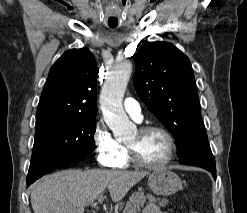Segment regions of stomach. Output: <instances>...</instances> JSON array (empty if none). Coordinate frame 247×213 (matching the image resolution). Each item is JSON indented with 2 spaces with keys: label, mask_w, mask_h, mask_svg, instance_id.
Segmentation results:
<instances>
[{
  "label": "stomach",
  "mask_w": 247,
  "mask_h": 213,
  "mask_svg": "<svg viewBox=\"0 0 247 213\" xmlns=\"http://www.w3.org/2000/svg\"><path fill=\"white\" fill-rule=\"evenodd\" d=\"M148 185L157 195L170 196L182 188L179 176L168 169H159L149 174Z\"/></svg>",
  "instance_id": "1"
}]
</instances>
